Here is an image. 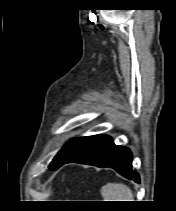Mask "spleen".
I'll list each match as a JSON object with an SVG mask.
<instances>
[{
    "label": "spleen",
    "instance_id": "spleen-1",
    "mask_svg": "<svg viewBox=\"0 0 176 211\" xmlns=\"http://www.w3.org/2000/svg\"><path fill=\"white\" fill-rule=\"evenodd\" d=\"M104 201H134L132 190L122 183H107L101 188Z\"/></svg>",
    "mask_w": 176,
    "mask_h": 211
}]
</instances>
